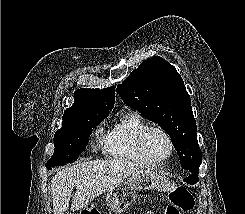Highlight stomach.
Segmentation results:
<instances>
[{
    "label": "stomach",
    "instance_id": "0dacf381",
    "mask_svg": "<svg viewBox=\"0 0 245 214\" xmlns=\"http://www.w3.org/2000/svg\"><path fill=\"white\" fill-rule=\"evenodd\" d=\"M175 188V183L166 177L150 170H139L107 192V205L115 214H120L132 204L139 191L156 189L161 192H170ZM92 210L93 207L90 204L85 207L87 214Z\"/></svg>",
    "mask_w": 245,
    "mask_h": 214
}]
</instances>
